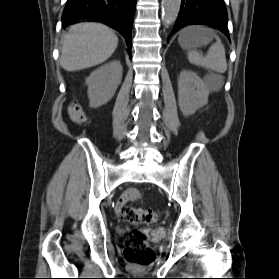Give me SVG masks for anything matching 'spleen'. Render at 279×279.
Listing matches in <instances>:
<instances>
[{
  "label": "spleen",
  "instance_id": "3e777b00",
  "mask_svg": "<svg viewBox=\"0 0 279 279\" xmlns=\"http://www.w3.org/2000/svg\"><path fill=\"white\" fill-rule=\"evenodd\" d=\"M216 42L212 44L206 56L200 55L197 51H189L188 52V59L190 63L202 66L206 69H210L215 71L219 74L224 73L227 70V62L225 57V49L221 40L218 36L215 37ZM222 86V77L219 76L217 82L211 84V89L217 91Z\"/></svg>",
  "mask_w": 279,
  "mask_h": 279
}]
</instances>
